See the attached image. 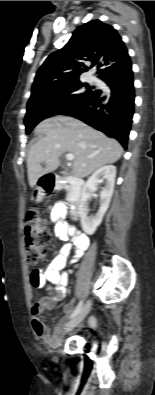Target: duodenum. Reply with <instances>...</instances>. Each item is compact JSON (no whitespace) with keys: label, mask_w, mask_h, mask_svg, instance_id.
Masks as SVG:
<instances>
[{"label":"duodenum","mask_w":155,"mask_h":395,"mask_svg":"<svg viewBox=\"0 0 155 395\" xmlns=\"http://www.w3.org/2000/svg\"><path fill=\"white\" fill-rule=\"evenodd\" d=\"M43 186L47 191L66 189L71 214L74 217L79 215L84 192L82 179L49 173L43 177Z\"/></svg>","instance_id":"duodenum-1"}]
</instances>
